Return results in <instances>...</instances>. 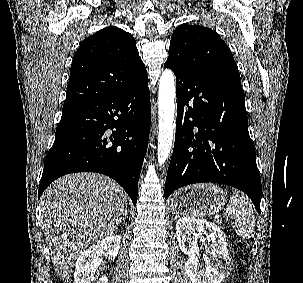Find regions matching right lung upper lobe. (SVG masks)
Wrapping results in <instances>:
<instances>
[{
  "label": "right lung upper lobe",
  "mask_w": 303,
  "mask_h": 283,
  "mask_svg": "<svg viewBox=\"0 0 303 283\" xmlns=\"http://www.w3.org/2000/svg\"><path fill=\"white\" fill-rule=\"evenodd\" d=\"M147 79L133 36L106 27L86 38L75 53L62 112L123 93Z\"/></svg>",
  "instance_id": "right-lung-upper-lobe-1"
}]
</instances>
